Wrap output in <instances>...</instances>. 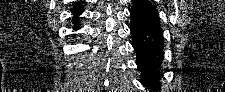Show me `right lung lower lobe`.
<instances>
[{
    "label": "right lung lower lobe",
    "instance_id": "1",
    "mask_svg": "<svg viewBox=\"0 0 225 92\" xmlns=\"http://www.w3.org/2000/svg\"><path fill=\"white\" fill-rule=\"evenodd\" d=\"M79 18L77 16H74L73 22H74V30H77L79 28L78 24Z\"/></svg>",
    "mask_w": 225,
    "mask_h": 92
}]
</instances>
